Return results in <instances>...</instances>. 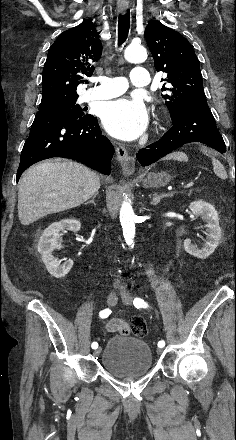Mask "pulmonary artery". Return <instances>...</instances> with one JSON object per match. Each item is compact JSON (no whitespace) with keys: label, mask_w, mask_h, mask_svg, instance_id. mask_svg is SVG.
I'll return each mask as SVG.
<instances>
[{"label":"pulmonary artery","mask_w":236,"mask_h":440,"mask_svg":"<svg viewBox=\"0 0 236 440\" xmlns=\"http://www.w3.org/2000/svg\"><path fill=\"white\" fill-rule=\"evenodd\" d=\"M130 80L135 87H147L150 83V75L146 68L135 66L130 72ZM99 84L95 89L86 92V100L113 98L121 95L128 88L127 80L124 77H102L99 79Z\"/></svg>","instance_id":"1"}]
</instances>
